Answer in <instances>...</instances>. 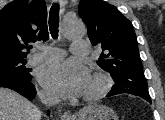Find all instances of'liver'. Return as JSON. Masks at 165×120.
I'll use <instances>...</instances> for the list:
<instances>
[{"instance_id":"6515ba94","label":"liver","mask_w":165,"mask_h":120,"mask_svg":"<svg viewBox=\"0 0 165 120\" xmlns=\"http://www.w3.org/2000/svg\"><path fill=\"white\" fill-rule=\"evenodd\" d=\"M40 110L18 93L0 88V120H40Z\"/></svg>"}]
</instances>
